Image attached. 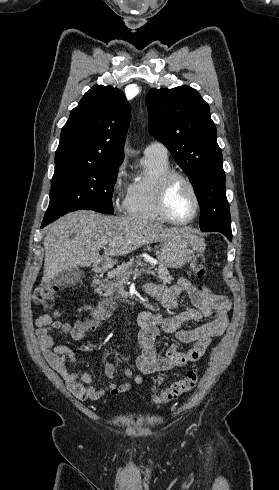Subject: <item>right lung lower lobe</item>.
Segmentation results:
<instances>
[{"mask_svg":"<svg viewBox=\"0 0 279 490\" xmlns=\"http://www.w3.org/2000/svg\"><path fill=\"white\" fill-rule=\"evenodd\" d=\"M47 224H49V223H44V222H42L41 228H43V227H44V226H46Z\"/></svg>","mask_w":279,"mask_h":490,"instance_id":"obj_1","label":"right lung lower lobe"}]
</instances>
